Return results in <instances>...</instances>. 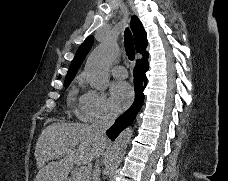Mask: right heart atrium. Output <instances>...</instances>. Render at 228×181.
I'll return each instance as SVG.
<instances>
[{
    "label": "right heart atrium",
    "mask_w": 228,
    "mask_h": 181,
    "mask_svg": "<svg viewBox=\"0 0 228 181\" xmlns=\"http://www.w3.org/2000/svg\"><path fill=\"white\" fill-rule=\"evenodd\" d=\"M112 113L107 96L99 91L89 90L81 98L79 116L86 122H96Z\"/></svg>",
    "instance_id": "1"
}]
</instances>
